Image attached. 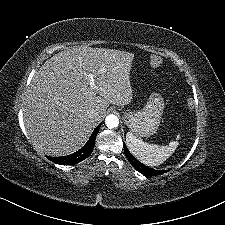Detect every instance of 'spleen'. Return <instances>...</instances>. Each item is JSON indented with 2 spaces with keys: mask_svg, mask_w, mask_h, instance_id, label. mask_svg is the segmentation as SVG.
<instances>
[{
  "mask_svg": "<svg viewBox=\"0 0 225 225\" xmlns=\"http://www.w3.org/2000/svg\"><path fill=\"white\" fill-rule=\"evenodd\" d=\"M126 144L132 155L149 167L161 165L175 152L178 146L177 141H171L169 145L164 146L149 144L136 138L131 132L126 134Z\"/></svg>",
  "mask_w": 225,
  "mask_h": 225,
  "instance_id": "obj_1",
  "label": "spleen"
}]
</instances>
